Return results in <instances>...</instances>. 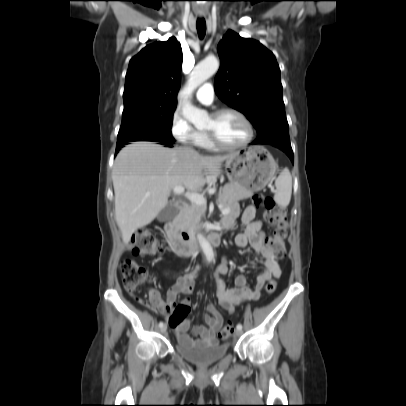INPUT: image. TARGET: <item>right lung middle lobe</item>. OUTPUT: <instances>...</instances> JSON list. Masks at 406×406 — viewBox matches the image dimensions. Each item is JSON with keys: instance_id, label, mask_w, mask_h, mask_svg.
<instances>
[{"instance_id": "1", "label": "right lung middle lobe", "mask_w": 406, "mask_h": 406, "mask_svg": "<svg viewBox=\"0 0 406 406\" xmlns=\"http://www.w3.org/2000/svg\"><path fill=\"white\" fill-rule=\"evenodd\" d=\"M175 108L145 105L124 108L117 146L134 141L174 142L171 121Z\"/></svg>"}]
</instances>
